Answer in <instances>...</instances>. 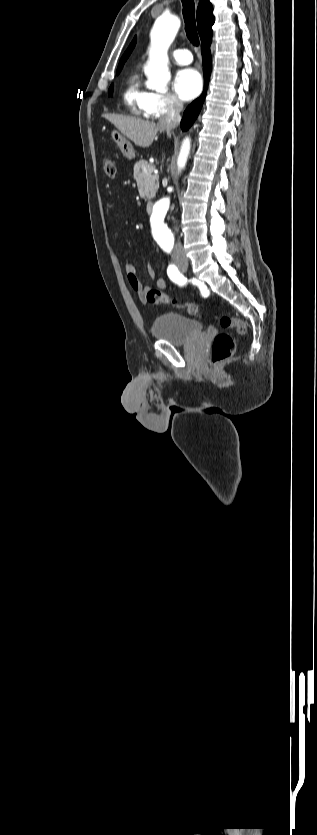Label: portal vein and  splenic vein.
Here are the masks:
<instances>
[{
    "mask_svg": "<svg viewBox=\"0 0 317 835\" xmlns=\"http://www.w3.org/2000/svg\"><path fill=\"white\" fill-rule=\"evenodd\" d=\"M153 170L156 171L155 166H153ZM143 171L148 172V168H144Z\"/></svg>",
    "mask_w": 317,
    "mask_h": 835,
    "instance_id": "1",
    "label": "portal vein and splenic vein"
}]
</instances>
